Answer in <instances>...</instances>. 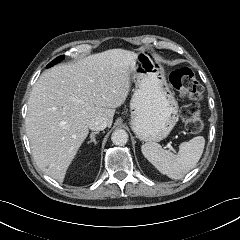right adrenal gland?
Segmentation results:
<instances>
[{
    "instance_id": "1",
    "label": "right adrenal gland",
    "mask_w": 240,
    "mask_h": 240,
    "mask_svg": "<svg viewBox=\"0 0 240 240\" xmlns=\"http://www.w3.org/2000/svg\"><path fill=\"white\" fill-rule=\"evenodd\" d=\"M96 134H98V132H92L91 134H90V141H88V144L89 143H94L95 145L97 144V142H96V139H95V135Z\"/></svg>"
}]
</instances>
